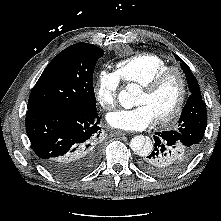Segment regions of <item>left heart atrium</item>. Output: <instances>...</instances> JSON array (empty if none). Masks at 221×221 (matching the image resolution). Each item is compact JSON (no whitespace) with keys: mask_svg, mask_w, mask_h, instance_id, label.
<instances>
[{"mask_svg":"<svg viewBox=\"0 0 221 221\" xmlns=\"http://www.w3.org/2000/svg\"><path fill=\"white\" fill-rule=\"evenodd\" d=\"M107 122L113 128L121 130H143L156 119L153 112L146 105L132 109H121L107 115Z\"/></svg>","mask_w":221,"mask_h":221,"instance_id":"1","label":"left heart atrium"}]
</instances>
